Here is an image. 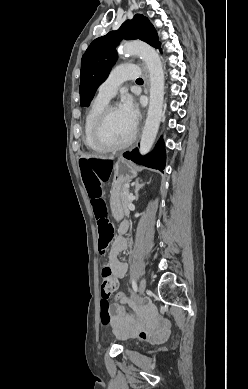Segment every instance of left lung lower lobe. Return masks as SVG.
I'll use <instances>...</instances> for the list:
<instances>
[{
  "instance_id": "0a47b994",
  "label": "left lung lower lobe",
  "mask_w": 248,
  "mask_h": 389,
  "mask_svg": "<svg viewBox=\"0 0 248 389\" xmlns=\"http://www.w3.org/2000/svg\"><path fill=\"white\" fill-rule=\"evenodd\" d=\"M123 156L137 164L157 169L161 172H163L165 167L166 153L162 139L158 141L154 150L146 156H141L138 149H134L132 152H126Z\"/></svg>"
}]
</instances>
